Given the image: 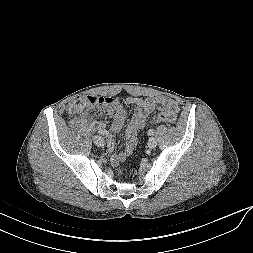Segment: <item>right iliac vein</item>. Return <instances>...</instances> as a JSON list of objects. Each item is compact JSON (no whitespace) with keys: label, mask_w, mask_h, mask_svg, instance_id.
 I'll return each mask as SVG.
<instances>
[{"label":"right iliac vein","mask_w":253,"mask_h":253,"mask_svg":"<svg viewBox=\"0 0 253 253\" xmlns=\"http://www.w3.org/2000/svg\"><path fill=\"white\" fill-rule=\"evenodd\" d=\"M94 143L99 146V147H102L104 146V140L101 136H95L94 137Z\"/></svg>","instance_id":"obj_1"}]
</instances>
